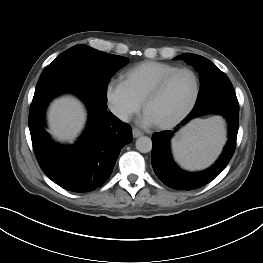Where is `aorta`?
Segmentation results:
<instances>
[{
  "mask_svg": "<svg viewBox=\"0 0 263 263\" xmlns=\"http://www.w3.org/2000/svg\"><path fill=\"white\" fill-rule=\"evenodd\" d=\"M135 145L136 149L141 153H148L152 150V140L147 136L139 137Z\"/></svg>",
  "mask_w": 263,
  "mask_h": 263,
  "instance_id": "obj_1",
  "label": "aorta"
}]
</instances>
